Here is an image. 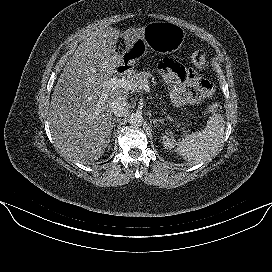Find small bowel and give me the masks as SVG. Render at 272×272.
I'll use <instances>...</instances> for the list:
<instances>
[{"label":"small bowel","instance_id":"small-bowel-1","mask_svg":"<svg viewBox=\"0 0 272 272\" xmlns=\"http://www.w3.org/2000/svg\"><path fill=\"white\" fill-rule=\"evenodd\" d=\"M159 69L169 86L170 99L176 106L199 104L214 93V87L209 81L172 59H163Z\"/></svg>","mask_w":272,"mask_h":272}]
</instances>
